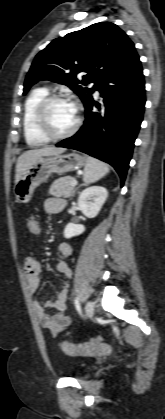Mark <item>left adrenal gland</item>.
<instances>
[{"label": "left adrenal gland", "instance_id": "1", "mask_svg": "<svg viewBox=\"0 0 165 419\" xmlns=\"http://www.w3.org/2000/svg\"><path fill=\"white\" fill-rule=\"evenodd\" d=\"M79 187H80V186H78V187L74 190V192H73L72 196H74V194H75L76 190H78V188H79Z\"/></svg>", "mask_w": 165, "mask_h": 419}]
</instances>
